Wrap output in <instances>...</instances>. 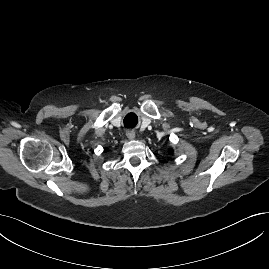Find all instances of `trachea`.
Here are the masks:
<instances>
[{"mask_svg":"<svg viewBox=\"0 0 269 269\" xmlns=\"http://www.w3.org/2000/svg\"><path fill=\"white\" fill-rule=\"evenodd\" d=\"M135 125H133V123L131 122V123H128V120L127 121H125V127H131V128H133Z\"/></svg>","mask_w":269,"mask_h":269,"instance_id":"3493384b","label":"trachea"}]
</instances>
